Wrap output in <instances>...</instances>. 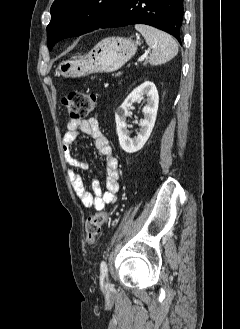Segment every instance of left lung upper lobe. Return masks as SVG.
Returning a JSON list of instances; mask_svg holds the SVG:
<instances>
[{"label": "left lung upper lobe", "instance_id": "left-lung-upper-lobe-1", "mask_svg": "<svg viewBox=\"0 0 240 329\" xmlns=\"http://www.w3.org/2000/svg\"><path fill=\"white\" fill-rule=\"evenodd\" d=\"M122 0H55L47 26L51 50L61 39L80 36L98 29Z\"/></svg>", "mask_w": 240, "mask_h": 329}]
</instances>
